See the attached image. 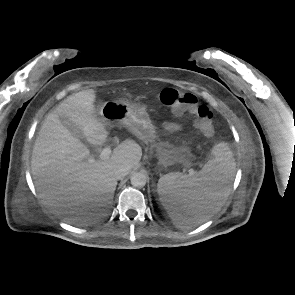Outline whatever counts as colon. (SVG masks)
Listing matches in <instances>:
<instances>
[{
	"mask_svg": "<svg viewBox=\"0 0 295 295\" xmlns=\"http://www.w3.org/2000/svg\"><path fill=\"white\" fill-rule=\"evenodd\" d=\"M160 101L170 107L172 111L183 116H195V125L204 135H211L213 128V113L205 105H198L196 97L191 93H184L173 88H166L160 93Z\"/></svg>",
	"mask_w": 295,
	"mask_h": 295,
	"instance_id": "5ec220e1",
	"label": "colon"
}]
</instances>
